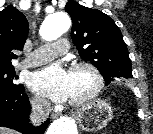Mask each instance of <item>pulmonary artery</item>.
<instances>
[{
    "label": "pulmonary artery",
    "instance_id": "e3ab8cb5",
    "mask_svg": "<svg viewBox=\"0 0 153 134\" xmlns=\"http://www.w3.org/2000/svg\"><path fill=\"white\" fill-rule=\"evenodd\" d=\"M69 49V42L61 38L54 43L45 44L32 52L22 63V67H33L47 63L54 58L65 54Z\"/></svg>",
    "mask_w": 153,
    "mask_h": 134
}]
</instances>
